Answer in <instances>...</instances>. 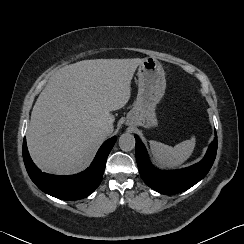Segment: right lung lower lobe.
Instances as JSON below:
<instances>
[{"label": "right lung lower lobe", "mask_w": 244, "mask_h": 244, "mask_svg": "<svg viewBox=\"0 0 244 244\" xmlns=\"http://www.w3.org/2000/svg\"><path fill=\"white\" fill-rule=\"evenodd\" d=\"M115 142V136L105 141L90 167L76 175L55 176L41 172L29 156L25 138L23 159L31 180L40 190L61 200H78L89 196L99 186L107 157Z\"/></svg>", "instance_id": "1"}]
</instances>
